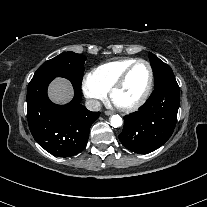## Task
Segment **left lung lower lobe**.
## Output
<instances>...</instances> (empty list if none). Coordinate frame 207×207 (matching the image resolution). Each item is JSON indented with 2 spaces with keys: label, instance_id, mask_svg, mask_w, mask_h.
<instances>
[{
  "label": "left lung lower lobe",
  "instance_id": "0a47b994",
  "mask_svg": "<svg viewBox=\"0 0 207 207\" xmlns=\"http://www.w3.org/2000/svg\"><path fill=\"white\" fill-rule=\"evenodd\" d=\"M179 104L177 83L156 88L137 112L125 116L119 140L135 153L146 154L156 150L172 135Z\"/></svg>",
  "mask_w": 207,
  "mask_h": 207
}]
</instances>
